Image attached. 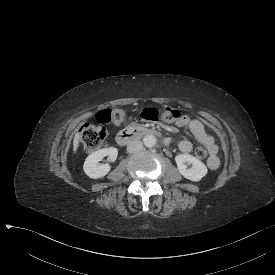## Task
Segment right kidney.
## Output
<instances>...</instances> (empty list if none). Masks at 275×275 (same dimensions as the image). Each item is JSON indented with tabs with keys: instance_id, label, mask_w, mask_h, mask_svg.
Instances as JSON below:
<instances>
[{
	"instance_id": "obj_1",
	"label": "right kidney",
	"mask_w": 275,
	"mask_h": 275,
	"mask_svg": "<svg viewBox=\"0 0 275 275\" xmlns=\"http://www.w3.org/2000/svg\"><path fill=\"white\" fill-rule=\"evenodd\" d=\"M109 156L111 161H115L118 156V150L115 147L98 150L89 155L83 165L85 174L92 179H100L111 171V165L101 164L99 162L105 157Z\"/></svg>"
}]
</instances>
